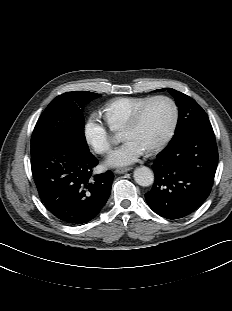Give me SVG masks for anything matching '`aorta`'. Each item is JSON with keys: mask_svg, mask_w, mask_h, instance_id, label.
Returning a JSON list of instances; mask_svg holds the SVG:
<instances>
[{"mask_svg": "<svg viewBox=\"0 0 232 311\" xmlns=\"http://www.w3.org/2000/svg\"><path fill=\"white\" fill-rule=\"evenodd\" d=\"M134 180L143 187H148L154 182V173L146 166H141L134 171Z\"/></svg>", "mask_w": 232, "mask_h": 311, "instance_id": "1", "label": "aorta"}]
</instances>
